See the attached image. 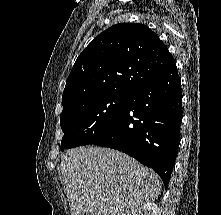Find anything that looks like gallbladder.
Wrapping results in <instances>:
<instances>
[{
    "mask_svg": "<svg viewBox=\"0 0 221 215\" xmlns=\"http://www.w3.org/2000/svg\"><path fill=\"white\" fill-rule=\"evenodd\" d=\"M96 213H97V211L94 210V211H93V214L90 213V214H84V215H96Z\"/></svg>",
    "mask_w": 221,
    "mask_h": 215,
    "instance_id": "bac80fb5",
    "label": "gallbladder"
}]
</instances>
